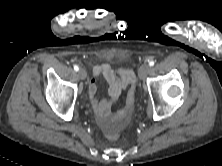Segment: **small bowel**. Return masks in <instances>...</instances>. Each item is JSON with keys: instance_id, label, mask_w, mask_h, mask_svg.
Instances as JSON below:
<instances>
[{"instance_id": "c3829d8e", "label": "small bowel", "mask_w": 222, "mask_h": 166, "mask_svg": "<svg viewBox=\"0 0 222 166\" xmlns=\"http://www.w3.org/2000/svg\"><path fill=\"white\" fill-rule=\"evenodd\" d=\"M92 73L94 78L89 83V97L99 123L107 133L112 130L108 121L112 106L122 92L135 82V74L131 68L123 67L116 70L107 63L92 65ZM99 76H103L108 83L109 98L107 99L97 96V77Z\"/></svg>"}]
</instances>
